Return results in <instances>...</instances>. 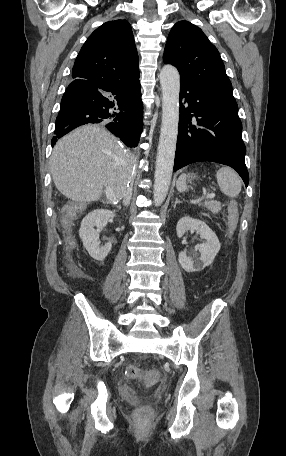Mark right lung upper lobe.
Masks as SVG:
<instances>
[{
    "mask_svg": "<svg viewBox=\"0 0 286 456\" xmlns=\"http://www.w3.org/2000/svg\"><path fill=\"white\" fill-rule=\"evenodd\" d=\"M138 77V55L131 25L126 20L109 21L97 28L82 46L72 69V78L103 87L128 83Z\"/></svg>",
    "mask_w": 286,
    "mask_h": 456,
    "instance_id": "right-lung-upper-lobe-1",
    "label": "right lung upper lobe"
}]
</instances>
